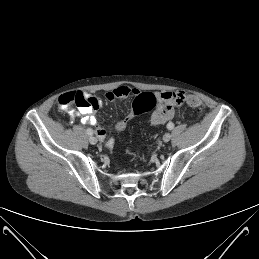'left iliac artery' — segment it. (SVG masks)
<instances>
[{
  "mask_svg": "<svg viewBox=\"0 0 259 259\" xmlns=\"http://www.w3.org/2000/svg\"><path fill=\"white\" fill-rule=\"evenodd\" d=\"M167 128H168L169 130H172V129L174 128V124H173L172 122L168 123V124H167Z\"/></svg>",
  "mask_w": 259,
  "mask_h": 259,
  "instance_id": "1",
  "label": "left iliac artery"
}]
</instances>
